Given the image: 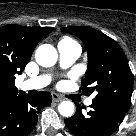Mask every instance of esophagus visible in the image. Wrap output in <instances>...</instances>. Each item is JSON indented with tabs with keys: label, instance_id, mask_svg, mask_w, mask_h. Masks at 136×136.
I'll return each instance as SVG.
<instances>
[{
	"label": "esophagus",
	"instance_id": "34e87169",
	"mask_svg": "<svg viewBox=\"0 0 136 136\" xmlns=\"http://www.w3.org/2000/svg\"><path fill=\"white\" fill-rule=\"evenodd\" d=\"M52 99L54 102H60L63 100V98L61 96H59L58 94H55V93L52 94Z\"/></svg>",
	"mask_w": 136,
	"mask_h": 136
}]
</instances>
